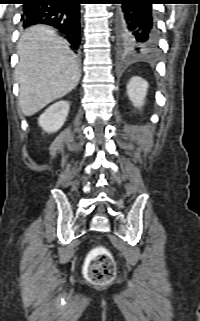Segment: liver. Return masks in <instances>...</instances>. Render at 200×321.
Listing matches in <instances>:
<instances>
[{
	"mask_svg": "<svg viewBox=\"0 0 200 321\" xmlns=\"http://www.w3.org/2000/svg\"><path fill=\"white\" fill-rule=\"evenodd\" d=\"M17 53L15 78L24 115H34L78 85L81 73L69 43L49 27L27 29L20 37Z\"/></svg>",
	"mask_w": 200,
	"mask_h": 321,
	"instance_id": "liver-1",
	"label": "liver"
}]
</instances>
